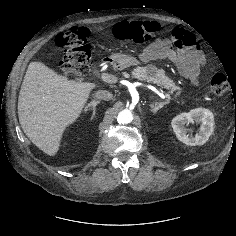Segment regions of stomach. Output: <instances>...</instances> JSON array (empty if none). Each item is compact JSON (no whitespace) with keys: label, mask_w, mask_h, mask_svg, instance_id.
<instances>
[{"label":"stomach","mask_w":236,"mask_h":236,"mask_svg":"<svg viewBox=\"0 0 236 236\" xmlns=\"http://www.w3.org/2000/svg\"><path fill=\"white\" fill-rule=\"evenodd\" d=\"M110 58L114 66L118 69H125L140 64V61L136 57L127 54L114 53Z\"/></svg>","instance_id":"stomach-1"}]
</instances>
